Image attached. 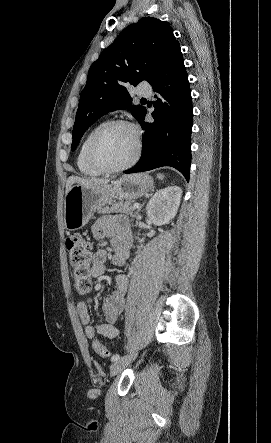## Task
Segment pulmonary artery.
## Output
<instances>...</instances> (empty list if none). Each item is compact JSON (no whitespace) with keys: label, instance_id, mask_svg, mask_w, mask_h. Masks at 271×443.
<instances>
[{"label":"pulmonary artery","instance_id":"pulmonary-artery-1","mask_svg":"<svg viewBox=\"0 0 271 443\" xmlns=\"http://www.w3.org/2000/svg\"><path fill=\"white\" fill-rule=\"evenodd\" d=\"M139 94L143 95V96H150L152 94V92L151 91H148V92L141 91V92H139Z\"/></svg>","mask_w":271,"mask_h":443}]
</instances>
